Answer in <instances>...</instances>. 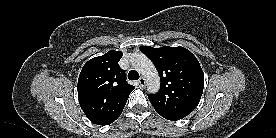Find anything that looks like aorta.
Segmentation results:
<instances>
[{
  "label": "aorta",
  "mask_w": 276,
  "mask_h": 138,
  "mask_svg": "<svg viewBox=\"0 0 276 138\" xmlns=\"http://www.w3.org/2000/svg\"><path fill=\"white\" fill-rule=\"evenodd\" d=\"M130 62L135 70L140 73L146 82L147 90L156 93L160 89V78L155 65L143 53L132 55Z\"/></svg>",
  "instance_id": "aorta-1"
}]
</instances>
